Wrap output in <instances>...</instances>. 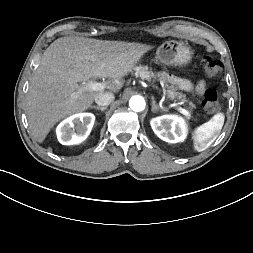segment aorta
<instances>
[{
	"mask_svg": "<svg viewBox=\"0 0 253 253\" xmlns=\"http://www.w3.org/2000/svg\"><path fill=\"white\" fill-rule=\"evenodd\" d=\"M129 106L133 111L140 112L145 109L146 103L143 97L133 96L129 100Z\"/></svg>",
	"mask_w": 253,
	"mask_h": 253,
	"instance_id": "aorta-1",
	"label": "aorta"
}]
</instances>
